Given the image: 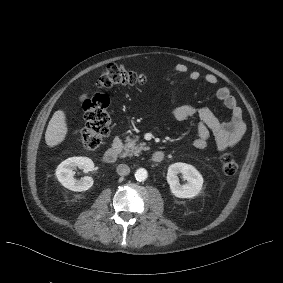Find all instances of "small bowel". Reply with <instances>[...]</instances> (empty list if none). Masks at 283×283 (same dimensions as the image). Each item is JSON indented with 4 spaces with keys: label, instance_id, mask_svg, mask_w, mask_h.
<instances>
[{
    "label": "small bowel",
    "instance_id": "1",
    "mask_svg": "<svg viewBox=\"0 0 283 283\" xmlns=\"http://www.w3.org/2000/svg\"><path fill=\"white\" fill-rule=\"evenodd\" d=\"M174 69L180 74L187 75L193 81L202 80L214 87L216 98L223 102L230 113V119L222 121L208 107L175 106L172 111V117L176 121L186 120L191 117H197L199 120L197 124V138L193 141L194 147L198 149L206 148L211 135L215 137L219 151L234 147L245 134L246 124L242 117V111L230 90L225 86L218 87V78L213 74H202L200 71L190 69L182 63L176 64ZM171 102L173 104L176 103V90H173L171 93Z\"/></svg>",
    "mask_w": 283,
    "mask_h": 283
}]
</instances>
